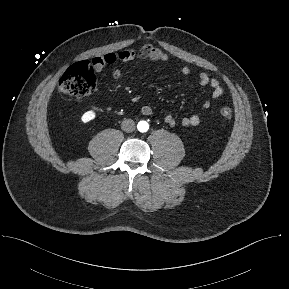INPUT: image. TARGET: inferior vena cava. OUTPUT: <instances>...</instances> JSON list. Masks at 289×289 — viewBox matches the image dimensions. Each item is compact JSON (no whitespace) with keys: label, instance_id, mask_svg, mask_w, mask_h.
Listing matches in <instances>:
<instances>
[{"label":"inferior vena cava","instance_id":"obj_1","mask_svg":"<svg viewBox=\"0 0 289 289\" xmlns=\"http://www.w3.org/2000/svg\"><path fill=\"white\" fill-rule=\"evenodd\" d=\"M121 129L125 132H132L135 129V123L132 119H124L121 123Z\"/></svg>","mask_w":289,"mask_h":289}]
</instances>
